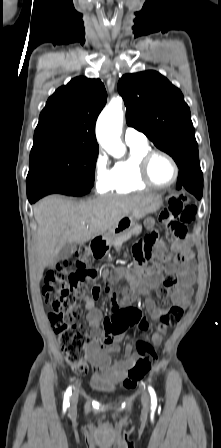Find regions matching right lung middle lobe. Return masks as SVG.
I'll list each match as a JSON object with an SVG mask.
<instances>
[{
	"instance_id": "dd1d6c3e",
	"label": "right lung middle lobe",
	"mask_w": 221,
	"mask_h": 448,
	"mask_svg": "<svg viewBox=\"0 0 221 448\" xmlns=\"http://www.w3.org/2000/svg\"><path fill=\"white\" fill-rule=\"evenodd\" d=\"M99 147L82 143H57L31 149L26 182L51 180L62 185L92 188Z\"/></svg>"
}]
</instances>
